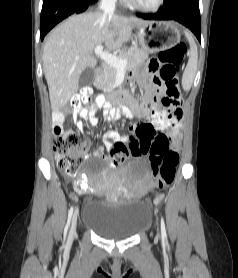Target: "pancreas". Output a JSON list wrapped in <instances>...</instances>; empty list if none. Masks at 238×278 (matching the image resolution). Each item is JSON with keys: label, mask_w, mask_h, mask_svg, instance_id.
Returning <instances> with one entry per match:
<instances>
[{"label": "pancreas", "mask_w": 238, "mask_h": 278, "mask_svg": "<svg viewBox=\"0 0 238 278\" xmlns=\"http://www.w3.org/2000/svg\"><path fill=\"white\" fill-rule=\"evenodd\" d=\"M117 57L127 60L125 70H131L148 57V52L142 48L131 47L126 52L119 53ZM116 75L117 69L104 63L102 75L95 81L94 85L104 92H109L115 87Z\"/></svg>", "instance_id": "cf45deb5"}]
</instances>
